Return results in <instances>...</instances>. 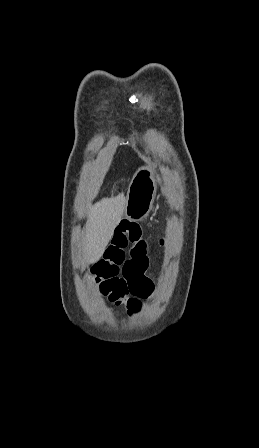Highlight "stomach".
<instances>
[{"label":"stomach","instance_id":"0dacf381","mask_svg":"<svg viewBox=\"0 0 259 448\" xmlns=\"http://www.w3.org/2000/svg\"><path fill=\"white\" fill-rule=\"evenodd\" d=\"M157 184L153 168L142 166L133 176L128 192L125 216L128 220L139 222L152 210Z\"/></svg>","mask_w":259,"mask_h":448}]
</instances>
